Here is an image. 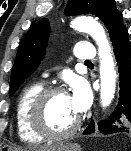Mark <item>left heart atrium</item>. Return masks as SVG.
Returning a JSON list of instances; mask_svg holds the SVG:
<instances>
[{
  "mask_svg": "<svg viewBox=\"0 0 131 151\" xmlns=\"http://www.w3.org/2000/svg\"><path fill=\"white\" fill-rule=\"evenodd\" d=\"M69 98L74 112L77 115L81 114L88 107L90 100L87 86L84 83L75 84Z\"/></svg>",
  "mask_w": 131,
  "mask_h": 151,
  "instance_id": "1",
  "label": "left heart atrium"
}]
</instances>
